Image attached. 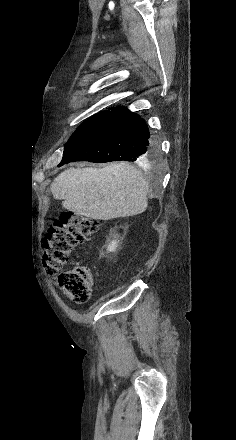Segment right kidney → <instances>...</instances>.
Instances as JSON below:
<instances>
[{"instance_id":"right-kidney-1","label":"right kidney","mask_w":236,"mask_h":440,"mask_svg":"<svg viewBox=\"0 0 236 440\" xmlns=\"http://www.w3.org/2000/svg\"><path fill=\"white\" fill-rule=\"evenodd\" d=\"M117 243L118 242L116 240L111 241L110 244L107 247V250L110 251V252L115 251L116 248H117Z\"/></svg>"}]
</instances>
